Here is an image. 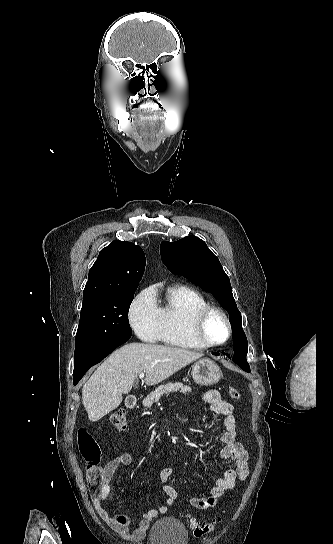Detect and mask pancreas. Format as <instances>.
Here are the masks:
<instances>
[{
	"instance_id": "obj_1",
	"label": "pancreas",
	"mask_w": 333,
	"mask_h": 544,
	"mask_svg": "<svg viewBox=\"0 0 333 544\" xmlns=\"http://www.w3.org/2000/svg\"><path fill=\"white\" fill-rule=\"evenodd\" d=\"M180 391L183 394H187L191 392V388L187 385H183L181 382H175V383H168L164 385H160L158 388H156L153 392L150 393L144 400H143V406L147 408H151L153 403L158 402L159 399L164 394H170L172 392Z\"/></svg>"
}]
</instances>
